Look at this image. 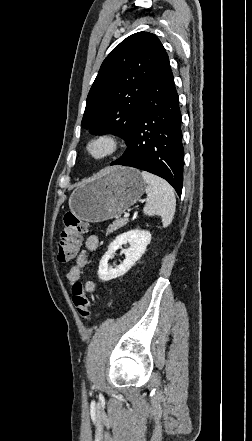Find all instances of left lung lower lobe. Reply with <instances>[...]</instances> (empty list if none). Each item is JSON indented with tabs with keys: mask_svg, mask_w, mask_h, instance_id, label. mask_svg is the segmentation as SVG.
<instances>
[{
	"mask_svg": "<svg viewBox=\"0 0 252 441\" xmlns=\"http://www.w3.org/2000/svg\"><path fill=\"white\" fill-rule=\"evenodd\" d=\"M124 154L110 165L151 172L167 180L180 196L183 145L179 98L163 48Z\"/></svg>",
	"mask_w": 252,
	"mask_h": 441,
	"instance_id": "1",
	"label": "left lung lower lobe"
}]
</instances>
